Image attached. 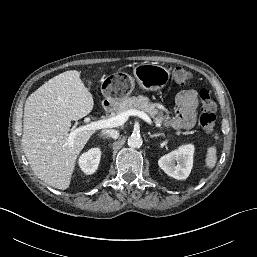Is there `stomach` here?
<instances>
[{"label":"stomach","instance_id":"0dacf381","mask_svg":"<svg viewBox=\"0 0 257 257\" xmlns=\"http://www.w3.org/2000/svg\"><path fill=\"white\" fill-rule=\"evenodd\" d=\"M133 73L140 87L146 91H157L163 88L170 78L167 68L154 63H139L133 68ZM134 89V79L127 75L109 76L101 84L104 96L103 106L116 107L127 98Z\"/></svg>","mask_w":257,"mask_h":257}]
</instances>
